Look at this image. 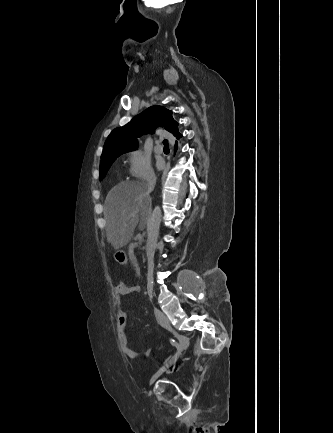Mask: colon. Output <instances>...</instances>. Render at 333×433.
Segmentation results:
<instances>
[{"label":"colon","instance_id":"colon-1","mask_svg":"<svg viewBox=\"0 0 333 433\" xmlns=\"http://www.w3.org/2000/svg\"><path fill=\"white\" fill-rule=\"evenodd\" d=\"M114 263L115 265H122L123 268L129 267V262L127 261V249H114Z\"/></svg>","mask_w":333,"mask_h":433}]
</instances>
